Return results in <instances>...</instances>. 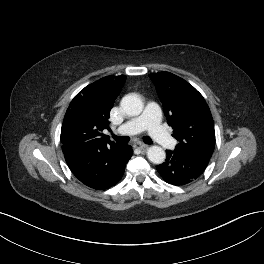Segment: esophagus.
I'll list each match as a JSON object with an SVG mask.
<instances>
[{
  "label": "esophagus",
  "mask_w": 264,
  "mask_h": 264,
  "mask_svg": "<svg viewBox=\"0 0 264 264\" xmlns=\"http://www.w3.org/2000/svg\"><path fill=\"white\" fill-rule=\"evenodd\" d=\"M134 148L140 149V150H147L148 149V145L141 143V142H137L133 145Z\"/></svg>",
  "instance_id": "esophagus-1"
}]
</instances>
